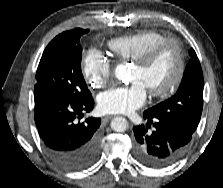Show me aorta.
<instances>
[{"mask_svg": "<svg viewBox=\"0 0 223 188\" xmlns=\"http://www.w3.org/2000/svg\"><path fill=\"white\" fill-rule=\"evenodd\" d=\"M115 77L121 81H126L129 75V68L126 64H119L114 70ZM111 128L116 132H124L128 128V121L123 117H115L111 121Z\"/></svg>", "mask_w": 223, "mask_h": 188, "instance_id": "762f6f07", "label": "aorta"}]
</instances>
